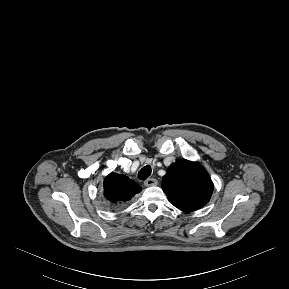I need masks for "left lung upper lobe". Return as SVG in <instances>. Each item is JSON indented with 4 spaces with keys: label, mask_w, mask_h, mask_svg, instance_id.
<instances>
[{
    "label": "left lung upper lobe",
    "mask_w": 289,
    "mask_h": 289,
    "mask_svg": "<svg viewBox=\"0 0 289 289\" xmlns=\"http://www.w3.org/2000/svg\"><path fill=\"white\" fill-rule=\"evenodd\" d=\"M162 189L171 204L190 212L202 208L210 200L213 183L198 162L180 159L168 168L162 180Z\"/></svg>",
    "instance_id": "left-lung-upper-lobe-1"
}]
</instances>
